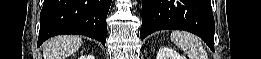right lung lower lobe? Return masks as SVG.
Returning <instances> with one entry per match:
<instances>
[{"label":"right lung lower lobe","mask_w":261,"mask_h":59,"mask_svg":"<svg viewBox=\"0 0 261 59\" xmlns=\"http://www.w3.org/2000/svg\"><path fill=\"white\" fill-rule=\"evenodd\" d=\"M110 5L111 0H44L38 47L61 34L85 35L105 46Z\"/></svg>","instance_id":"98d812e1"}]
</instances>
